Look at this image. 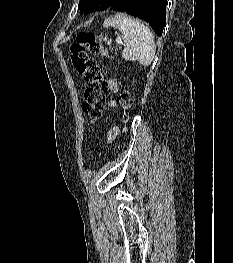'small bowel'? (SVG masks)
I'll return each mask as SVG.
<instances>
[{
	"label": "small bowel",
	"instance_id": "c3829d8e",
	"mask_svg": "<svg viewBox=\"0 0 233 263\" xmlns=\"http://www.w3.org/2000/svg\"><path fill=\"white\" fill-rule=\"evenodd\" d=\"M109 91L114 94L118 91V83L115 79H109L107 82ZM111 107L115 106V102L110 100L109 102ZM120 129L118 126H112L107 132V139L109 142H113L119 135Z\"/></svg>",
	"mask_w": 233,
	"mask_h": 263
}]
</instances>
